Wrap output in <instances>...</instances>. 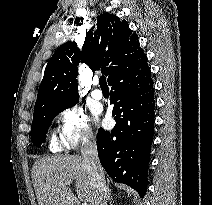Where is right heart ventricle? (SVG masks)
<instances>
[{"label": "right heart ventricle", "mask_w": 212, "mask_h": 205, "mask_svg": "<svg viewBox=\"0 0 212 205\" xmlns=\"http://www.w3.org/2000/svg\"><path fill=\"white\" fill-rule=\"evenodd\" d=\"M50 149L52 151H59L61 149V145H60L59 141L54 137H52V139L50 141Z\"/></svg>", "instance_id": "e07e8e85"}]
</instances>
